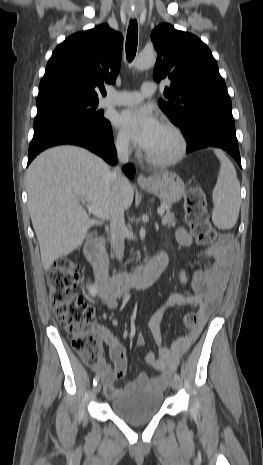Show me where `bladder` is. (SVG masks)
Masks as SVG:
<instances>
[{"label":"bladder","mask_w":263,"mask_h":465,"mask_svg":"<svg viewBox=\"0 0 263 465\" xmlns=\"http://www.w3.org/2000/svg\"><path fill=\"white\" fill-rule=\"evenodd\" d=\"M163 404V393L151 387H136L110 403L114 415L132 426H142L156 416Z\"/></svg>","instance_id":"31cf9c89"}]
</instances>
